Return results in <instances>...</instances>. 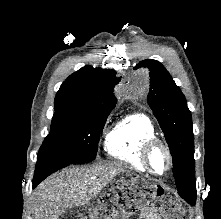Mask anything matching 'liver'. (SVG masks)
<instances>
[{
    "label": "liver",
    "instance_id": "1",
    "mask_svg": "<svg viewBox=\"0 0 221 219\" xmlns=\"http://www.w3.org/2000/svg\"><path fill=\"white\" fill-rule=\"evenodd\" d=\"M126 171L122 163L70 168L53 174L34 193V219H59L70 208H87L115 176Z\"/></svg>",
    "mask_w": 221,
    "mask_h": 219
}]
</instances>
